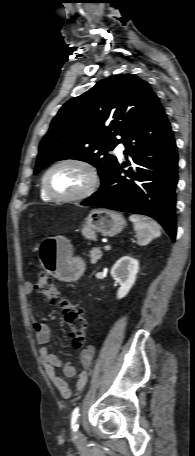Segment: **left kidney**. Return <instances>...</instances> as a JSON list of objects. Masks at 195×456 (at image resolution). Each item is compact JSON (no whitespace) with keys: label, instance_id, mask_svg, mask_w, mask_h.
Wrapping results in <instances>:
<instances>
[{"label":"left kidney","instance_id":"1","mask_svg":"<svg viewBox=\"0 0 195 456\" xmlns=\"http://www.w3.org/2000/svg\"><path fill=\"white\" fill-rule=\"evenodd\" d=\"M139 262L130 256L121 257L111 269L112 278L119 283L117 298H124L135 284Z\"/></svg>","mask_w":195,"mask_h":456}]
</instances>
